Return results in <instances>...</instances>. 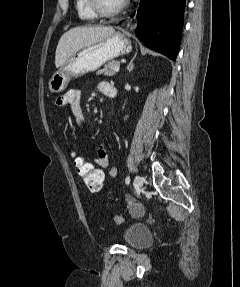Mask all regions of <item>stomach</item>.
<instances>
[{
  "instance_id": "obj_1",
  "label": "stomach",
  "mask_w": 240,
  "mask_h": 287,
  "mask_svg": "<svg viewBox=\"0 0 240 287\" xmlns=\"http://www.w3.org/2000/svg\"><path fill=\"white\" fill-rule=\"evenodd\" d=\"M132 50L131 41L125 32H114L102 41L83 48L72 56L58 71L48 85L52 93L63 91L72 77H78L100 68L107 61L128 54Z\"/></svg>"
}]
</instances>
